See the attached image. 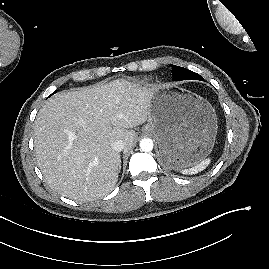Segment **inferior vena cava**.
<instances>
[{
	"label": "inferior vena cava",
	"mask_w": 269,
	"mask_h": 269,
	"mask_svg": "<svg viewBox=\"0 0 269 269\" xmlns=\"http://www.w3.org/2000/svg\"><path fill=\"white\" fill-rule=\"evenodd\" d=\"M111 147L112 149H114L115 151H122L125 147L124 145V142L122 140H117V141H114L112 144H111Z\"/></svg>",
	"instance_id": "inferior-vena-cava-1"
}]
</instances>
